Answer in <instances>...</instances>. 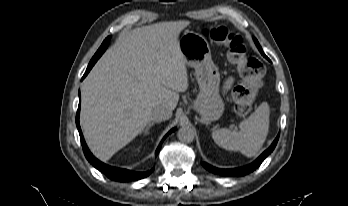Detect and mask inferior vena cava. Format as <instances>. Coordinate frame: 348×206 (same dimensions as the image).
<instances>
[{
  "mask_svg": "<svg viewBox=\"0 0 348 206\" xmlns=\"http://www.w3.org/2000/svg\"><path fill=\"white\" fill-rule=\"evenodd\" d=\"M172 116V111L164 107H155L152 111L151 119L154 121L168 120Z\"/></svg>",
  "mask_w": 348,
  "mask_h": 206,
  "instance_id": "1",
  "label": "inferior vena cava"
}]
</instances>
